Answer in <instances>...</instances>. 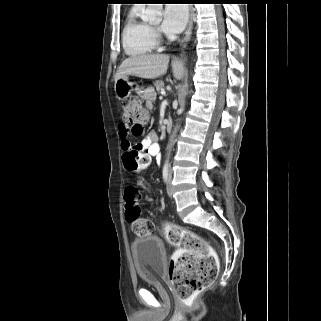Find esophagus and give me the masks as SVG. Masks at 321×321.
Here are the masks:
<instances>
[{
  "label": "esophagus",
  "instance_id": "obj_1",
  "mask_svg": "<svg viewBox=\"0 0 321 321\" xmlns=\"http://www.w3.org/2000/svg\"><path fill=\"white\" fill-rule=\"evenodd\" d=\"M192 28H193V6H189V21L187 25V29L185 31V36L182 41L183 48L186 47L187 43L190 41L191 34H192Z\"/></svg>",
  "mask_w": 321,
  "mask_h": 321
}]
</instances>
